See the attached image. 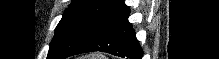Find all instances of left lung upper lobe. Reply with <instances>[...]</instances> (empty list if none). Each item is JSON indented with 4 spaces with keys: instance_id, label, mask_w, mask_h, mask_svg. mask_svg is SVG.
Returning a JSON list of instances; mask_svg holds the SVG:
<instances>
[{
    "instance_id": "1",
    "label": "left lung upper lobe",
    "mask_w": 219,
    "mask_h": 59,
    "mask_svg": "<svg viewBox=\"0 0 219 59\" xmlns=\"http://www.w3.org/2000/svg\"><path fill=\"white\" fill-rule=\"evenodd\" d=\"M111 0H72L56 27L47 59H66L94 30Z\"/></svg>"
}]
</instances>
